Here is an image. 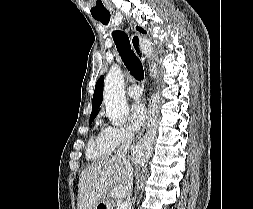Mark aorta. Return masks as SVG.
<instances>
[{
  "label": "aorta",
  "instance_id": "aorta-1",
  "mask_svg": "<svg viewBox=\"0 0 253 209\" xmlns=\"http://www.w3.org/2000/svg\"><path fill=\"white\" fill-rule=\"evenodd\" d=\"M104 102L109 120L120 126L129 113L125 91L124 77L120 67L112 66L104 81ZM149 148H146L148 151Z\"/></svg>",
  "mask_w": 253,
  "mask_h": 209
}]
</instances>
